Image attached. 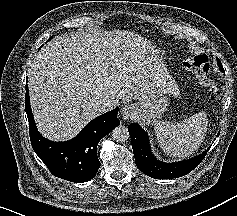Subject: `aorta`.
Listing matches in <instances>:
<instances>
[{"instance_id": "762f6f07", "label": "aorta", "mask_w": 237, "mask_h": 216, "mask_svg": "<svg viewBox=\"0 0 237 216\" xmlns=\"http://www.w3.org/2000/svg\"><path fill=\"white\" fill-rule=\"evenodd\" d=\"M112 138L116 142L125 143L129 138L130 134L128 128L124 125H119L112 130Z\"/></svg>"}]
</instances>
